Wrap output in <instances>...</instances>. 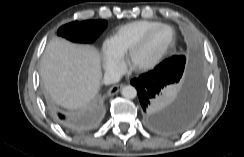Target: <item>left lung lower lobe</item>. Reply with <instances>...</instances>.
Wrapping results in <instances>:
<instances>
[{
	"instance_id": "0a47b994",
	"label": "left lung lower lobe",
	"mask_w": 244,
	"mask_h": 157,
	"mask_svg": "<svg viewBox=\"0 0 244 157\" xmlns=\"http://www.w3.org/2000/svg\"><path fill=\"white\" fill-rule=\"evenodd\" d=\"M145 112L146 124L160 133L176 134L187 130L196 120L204 97V79L199 67L182 66L176 71L153 69L131 81ZM181 85L179 96L167 94Z\"/></svg>"
}]
</instances>
